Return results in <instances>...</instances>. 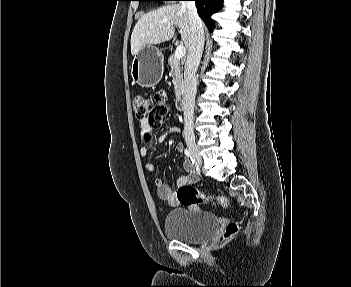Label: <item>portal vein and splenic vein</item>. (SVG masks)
I'll return each mask as SVG.
<instances>
[{"instance_id":"portal-vein-and-splenic-vein-1","label":"portal vein and splenic vein","mask_w":351,"mask_h":287,"mask_svg":"<svg viewBox=\"0 0 351 287\" xmlns=\"http://www.w3.org/2000/svg\"><path fill=\"white\" fill-rule=\"evenodd\" d=\"M168 28L170 29V27H168ZM185 53H186L185 47L183 45H179V46H177L176 51H175V58L180 60L185 56Z\"/></svg>"}]
</instances>
